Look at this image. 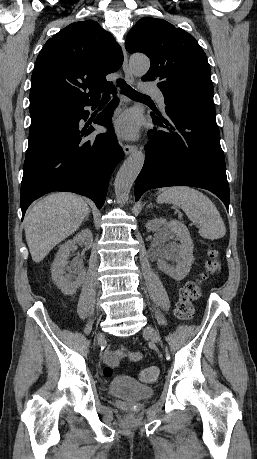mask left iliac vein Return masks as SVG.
Here are the masks:
<instances>
[{"mask_svg": "<svg viewBox=\"0 0 257 459\" xmlns=\"http://www.w3.org/2000/svg\"><path fill=\"white\" fill-rule=\"evenodd\" d=\"M144 334H146L153 342H160V336L158 332L151 325H148L144 328Z\"/></svg>", "mask_w": 257, "mask_h": 459, "instance_id": "left-iliac-vein-1", "label": "left iliac vein"}]
</instances>
